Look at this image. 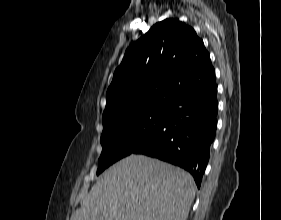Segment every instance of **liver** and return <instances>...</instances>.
Wrapping results in <instances>:
<instances>
[{"label": "liver", "instance_id": "6515ba94", "mask_svg": "<svg viewBox=\"0 0 281 220\" xmlns=\"http://www.w3.org/2000/svg\"><path fill=\"white\" fill-rule=\"evenodd\" d=\"M195 191L183 169L132 154L103 173L71 220H186Z\"/></svg>", "mask_w": 281, "mask_h": 220}]
</instances>
